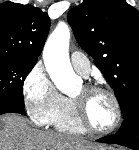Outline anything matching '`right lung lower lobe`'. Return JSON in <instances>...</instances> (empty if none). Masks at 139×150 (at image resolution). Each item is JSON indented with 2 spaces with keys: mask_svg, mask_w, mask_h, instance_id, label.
I'll return each instance as SVG.
<instances>
[{
  "mask_svg": "<svg viewBox=\"0 0 139 150\" xmlns=\"http://www.w3.org/2000/svg\"><path fill=\"white\" fill-rule=\"evenodd\" d=\"M5 113H19L26 115L24 107L10 101H0V115Z\"/></svg>",
  "mask_w": 139,
  "mask_h": 150,
  "instance_id": "right-lung-lower-lobe-1",
  "label": "right lung lower lobe"
}]
</instances>
